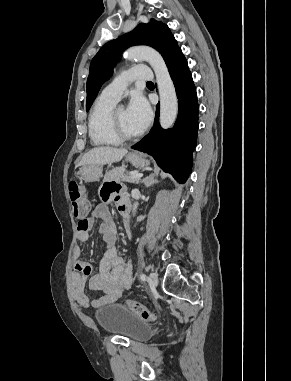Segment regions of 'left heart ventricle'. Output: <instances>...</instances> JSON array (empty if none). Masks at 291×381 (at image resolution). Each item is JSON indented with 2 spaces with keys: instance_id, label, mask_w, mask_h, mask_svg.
Segmentation results:
<instances>
[{
  "instance_id": "obj_1",
  "label": "left heart ventricle",
  "mask_w": 291,
  "mask_h": 381,
  "mask_svg": "<svg viewBox=\"0 0 291 381\" xmlns=\"http://www.w3.org/2000/svg\"><path fill=\"white\" fill-rule=\"evenodd\" d=\"M117 118L124 133L128 135H135L140 132V130L130 118L127 109L119 108L117 111Z\"/></svg>"
}]
</instances>
